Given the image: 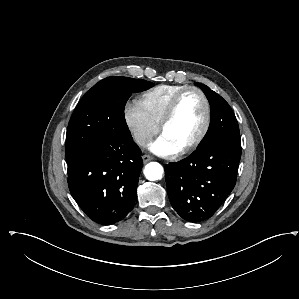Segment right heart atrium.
I'll list each match as a JSON object with an SVG mask.
<instances>
[{"label":"right heart atrium","instance_id":"1","mask_svg":"<svg viewBox=\"0 0 299 299\" xmlns=\"http://www.w3.org/2000/svg\"><path fill=\"white\" fill-rule=\"evenodd\" d=\"M124 119L134 142L139 146L146 145L158 132V126L148 118L137 102L126 105Z\"/></svg>","mask_w":299,"mask_h":299}]
</instances>
